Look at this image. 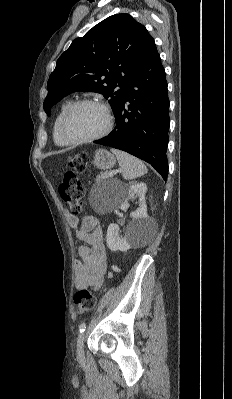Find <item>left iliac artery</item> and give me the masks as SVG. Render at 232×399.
Returning a JSON list of instances; mask_svg holds the SVG:
<instances>
[{
    "label": "left iliac artery",
    "instance_id": "1",
    "mask_svg": "<svg viewBox=\"0 0 232 399\" xmlns=\"http://www.w3.org/2000/svg\"><path fill=\"white\" fill-rule=\"evenodd\" d=\"M85 330H86V323H82V324L79 326V332H80V333H83V332H85Z\"/></svg>",
    "mask_w": 232,
    "mask_h": 399
}]
</instances>
